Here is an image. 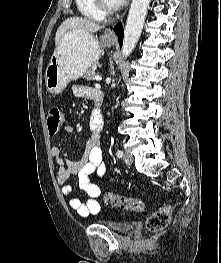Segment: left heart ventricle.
<instances>
[{
    "label": "left heart ventricle",
    "instance_id": "1",
    "mask_svg": "<svg viewBox=\"0 0 221 263\" xmlns=\"http://www.w3.org/2000/svg\"><path fill=\"white\" fill-rule=\"evenodd\" d=\"M106 2H107L109 5H112V6L117 5L114 0H106Z\"/></svg>",
    "mask_w": 221,
    "mask_h": 263
}]
</instances>
